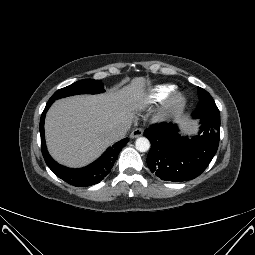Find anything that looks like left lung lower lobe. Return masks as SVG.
<instances>
[{"instance_id":"0a47b994","label":"left lung lower lobe","mask_w":255,"mask_h":255,"mask_svg":"<svg viewBox=\"0 0 255 255\" xmlns=\"http://www.w3.org/2000/svg\"><path fill=\"white\" fill-rule=\"evenodd\" d=\"M197 119L200 132L191 139L182 137L173 123L154 125L144 131L152 145L147 164L160 179L172 182L194 179L213 159L219 144L220 117Z\"/></svg>"}]
</instances>
